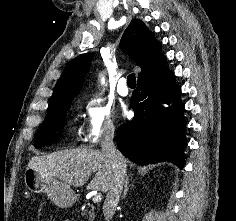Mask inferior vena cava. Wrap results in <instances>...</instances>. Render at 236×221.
I'll use <instances>...</instances> for the list:
<instances>
[{"label":"inferior vena cava","mask_w":236,"mask_h":221,"mask_svg":"<svg viewBox=\"0 0 236 221\" xmlns=\"http://www.w3.org/2000/svg\"><path fill=\"white\" fill-rule=\"evenodd\" d=\"M114 134V128L107 129L104 131L101 139L102 153L111 167V180L103 205V214L106 221H111L112 219L126 176V161L113 142Z\"/></svg>","instance_id":"inferior-vena-cava-1"}]
</instances>
